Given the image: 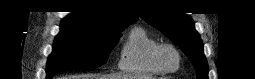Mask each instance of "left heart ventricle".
I'll return each instance as SVG.
<instances>
[{"label":"left heart ventricle","instance_id":"left-heart-ventricle-1","mask_svg":"<svg viewBox=\"0 0 255 79\" xmlns=\"http://www.w3.org/2000/svg\"><path fill=\"white\" fill-rule=\"evenodd\" d=\"M162 60L168 67L174 68L178 64V58L176 54L169 49H166L162 52Z\"/></svg>","mask_w":255,"mask_h":79}]
</instances>
